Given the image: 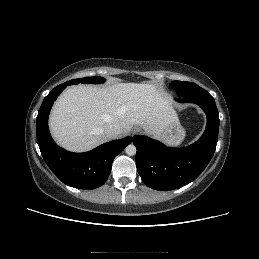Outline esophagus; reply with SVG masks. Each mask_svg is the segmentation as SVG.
Segmentation results:
<instances>
[{
  "instance_id": "obj_1",
  "label": "esophagus",
  "mask_w": 259,
  "mask_h": 259,
  "mask_svg": "<svg viewBox=\"0 0 259 259\" xmlns=\"http://www.w3.org/2000/svg\"><path fill=\"white\" fill-rule=\"evenodd\" d=\"M140 132V129L139 128H134L133 131H132V134L133 135H136Z\"/></svg>"
}]
</instances>
